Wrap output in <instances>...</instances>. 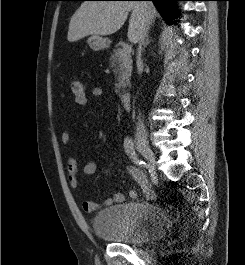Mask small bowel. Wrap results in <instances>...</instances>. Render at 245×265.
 <instances>
[{
    "label": "small bowel",
    "instance_id": "c3829d8e",
    "mask_svg": "<svg viewBox=\"0 0 245 265\" xmlns=\"http://www.w3.org/2000/svg\"><path fill=\"white\" fill-rule=\"evenodd\" d=\"M103 89L100 87H93L90 91V94L93 97L103 96ZM70 140V135L67 131H63L60 135V141L63 144H67ZM66 170L68 173V182L72 188H78L80 186L79 180V166L75 158L69 157L66 161ZM97 170V165L94 161H86L81 168V171L84 175L90 176L93 175ZM128 172L130 176L138 183V185L143 190L145 196L148 199H154L156 197L155 192L150 188L149 182L142 171L135 167H129ZM129 196L132 199H136L138 194L137 191L131 190ZM125 197L122 193L116 192L111 197L105 199L102 203H96L94 201L85 200L82 203V208L86 213H94L99 208L108 207L113 204L122 203Z\"/></svg>",
    "mask_w": 245,
    "mask_h": 265
}]
</instances>
